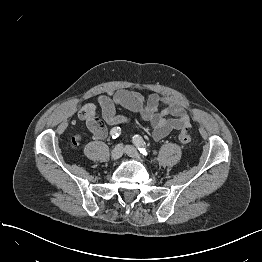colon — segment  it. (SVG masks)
Here are the masks:
<instances>
[{"instance_id": "1", "label": "colon", "mask_w": 262, "mask_h": 262, "mask_svg": "<svg viewBox=\"0 0 262 262\" xmlns=\"http://www.w3.org/2000/svg\"><path fill=\"white\" fill-rule=\"evenodd\" d=\"M191 131L189 127L182 128L178 133V140L183 144H189L191 141ZM80 138H75V144H79Z\"/></svg>"}]
</instances>
